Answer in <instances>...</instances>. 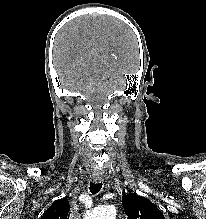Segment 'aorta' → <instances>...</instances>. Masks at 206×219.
Segmentation results:
<instances>
[{"label": "aorta", "mask_w": 206, "mask_h": 219, "mask_svg": "<svg viewBox=\"0 0 206 219\" xmlns=\"http://www.w3.org/2000/svg\"><path fill=\"white\" fill-rule=\"evenodd\" d=\"M116 208L114 206H103L94 209L85 216V219H115Z\"/></svg>", "instance_id": "obj_1"}]
</instances>
